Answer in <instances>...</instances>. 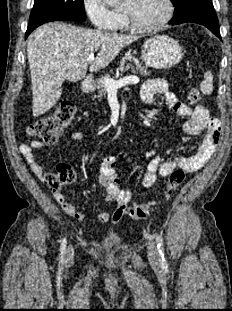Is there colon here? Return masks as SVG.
Here are the masks:
<instances>
[{"label": "colon", "mask_w": 232, "mask_h": 311, "mask_svg": "<svg viewBox=\"0 0 232 311\" xmlns=\"http://www.w3.org/2000/svg\"><path fill=\"white\" fill-rule=\"evenodd\" d=\"M200 99V92L192 88L187 93V102L195 104ZM75 115V106L71 101H62L54 112L48 116L39 117L28 127V133L37 136L46 143H54L58 136L65 131L72 123ZM74 171L68 165L58 167L57 173L47 175V183L52 191L61 192L63 186L74 179ZM184 180V171L174 170L169 178L163 192V198L168 199ZM156 201H149L143 204L134 205L126 211L127 217L132 220L145 219L156 206Z\"/></svg>", "instance_id": "5ec220e1"}]
</instances>
